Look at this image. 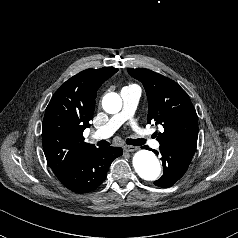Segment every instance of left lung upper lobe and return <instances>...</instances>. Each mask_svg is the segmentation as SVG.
Returning a JSON list of instances; mask_svg holds the SVG:
<instances>
[{
    "label": "left lung upper lobe",
    "instance_id": "1",
    "mask_svg": "<svg viewBox=\"0 0 238 238\" xmlns=\"http://www.w3.org/2000/svg\"><path fill=\"white\" fill-rule=\"evenodd\" d=\"M139 80L148 97L147 123L163 126L156 133L160 146L195 152L198 118L188 94L173 80L148 69H128Z\"/></svg>",
    "mask_w": 238,
    "mask_h": 238
}]
</instances>
